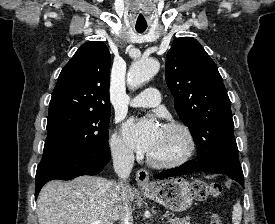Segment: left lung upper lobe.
I'll return each instance as SVG.
<instances>
[{
  "instance_id": "5c2ea615",
  "label": "left lung upper lobe",
  "mask_w": 275,
  "mask_h": 224,
  "mask_svg": "<svg viewBox=\"0 0 275 224\" xmlns=\"http://www.w3.org/2000/svg\"><path fill=\"white\" fill-rule=\"evenodd\" d=\"M165 78L175 109L197 145L196 160L239 164L230 99L214 61L197 40L180 37L173 42Z\"/></svg>"
}]
</instances>
